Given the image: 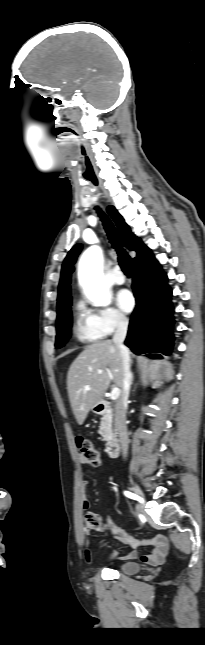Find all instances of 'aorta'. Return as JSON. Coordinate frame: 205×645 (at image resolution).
<instances>
[{"label": "aorta", "instance_id": "762f6f07", "mask_svg": "<svg viewBox=\"0 0 205 645\" xmlns=\"http://www.w3.org/2000/svg\"><path fill=\"white\" fill-rule=\"evenodd\" d=\"M102 263V251L98 246L89 247L79 261V282L95 306H107L111 301L103 278Z\"/></svg>", "mask_w": 205, "mask_h": 645}]
</instances>
